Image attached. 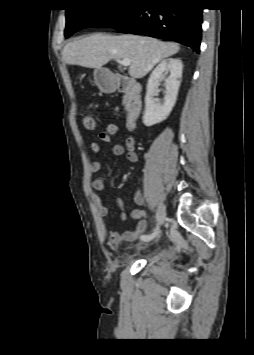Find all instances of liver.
<instances>
[{
  "mask_svg": "<svg viewBox=\"0 0 254 355\" xmlns=\"http://www.w3.org/2000/svg\"><path fill=\"white\" fill-rule=\"evenodd\" d=\"M179 49L177 43L162 42L151 37L96 33L68 43L62 51V58L66 64L94 69H101L111 59H129V75L139 79Z\"/></svg>",
  "mask_w": 254,
  "mask_h": 355,
  "instance_id": "liver-1",
  "label": "liver"
}]
</instances>
